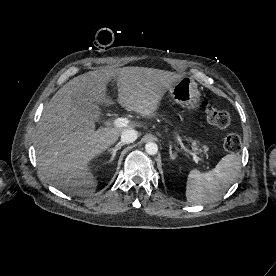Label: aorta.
I'll return each mask as SVG.
<instances>
[{"label":"aorta","mask_w":276,"mask_h":276,"mask_svg":"<svg viewBox=\"0 0 276 276\" xmlns=\"http://www.w3.org/2000/svg\"><path fill=\"white\" fill-rule=\"evenodd\" d=\"M145 151L149 155H155L158 152V146L155 142H148L145 145Z\"/></svg>","instance_id":"aorta-1"}]
</instances>
